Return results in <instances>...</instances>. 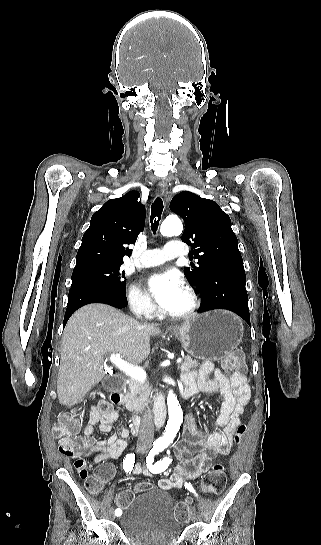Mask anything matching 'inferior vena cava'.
Instances as JSON below:
<instances>
[{"label": "inferior vena cava", "mask_w": 321, "mask_h": 545, "mask_svg": "<svg viewBox=\"0 0 321 545\" xmlns=\"http://www.w3.org/2000/svg\"><path fill=\"white\" fill-rule=\"evenodd\" d=\"M140 315V309L136 311ZM154 439V419L151 411L144 413L139 427L137 448L139 450H149Z\"/></svg>", "instance_id": "602c4592"}]
</instances>
